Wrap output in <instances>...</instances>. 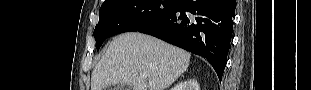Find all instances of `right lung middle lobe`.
Wrapping results in <instances>:
<instances>
[{"mask_svg": "<svg viewBox=\"0 0 311 90\" xmlns=\"http://www.w3.org/2000/svg\"><path fill=\"white\" fill-rule=\"evenodd\" d=\"M179 0H108L99 11L94 30L96 48L115 34L138 31L170 13Z\"/></svg>", "mask_w": 311, "mask_h": 90, "instance_id": "obj_1", "label": "right lung middle lobe"}]
</instances>
